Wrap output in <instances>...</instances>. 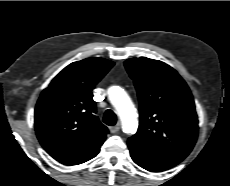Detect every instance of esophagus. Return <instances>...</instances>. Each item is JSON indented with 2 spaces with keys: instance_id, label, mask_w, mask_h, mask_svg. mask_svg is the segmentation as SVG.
I'll return each mask as SVG.
<instances>
[{
  "instance_id": "obj_1",
  "label": "esophagus",
  "mask_w": 230,
  "mask_h": 186,
  "mask_svg": "<svg viewBox=\"0 0 230 186\" xmlns=\"http://www.w3.org/2000/svg\"><path fill=\"white\" fill-rule=\"evenodd\" d=\"M111 133H117L120 130V124H116L114 126L109 127Z\"/></svg>"
}]
</instances>
